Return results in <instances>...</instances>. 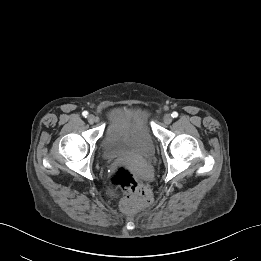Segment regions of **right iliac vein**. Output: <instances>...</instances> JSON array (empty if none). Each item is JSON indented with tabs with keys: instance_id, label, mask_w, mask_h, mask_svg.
Returning a JSON list of instances; mask_svg holds the SVG:
<instances>
[{
	"instance_id": "right-iliac-vein-1",
	"label": "right iliac vein",
	"mask_w": 261,
	"mask_h": 261,
	"mask_svg": "<svg viewBox=\"0 0 261 261\" xmlns=\"http://www.w3.org/2000/svg\"><path fill=\"white\" fill-rule=\"evenodd\" d=\"M87 120L90 124H94L96 122V116L91 114L88 116Z\"/></svg>"
}]
</instances>
